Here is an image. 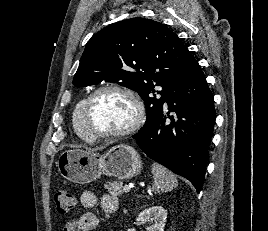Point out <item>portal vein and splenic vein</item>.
<instances>
[{
    "label": "portal vein and splenic vein",
    "instance_id": "obj_1",
    "mask_svg": "<svg viewBox=\"0 0 268 231\" xmlns=\"http://www.w3.org/2000/svg\"><path fill=\"white\" fill-rule=\"evenodd\" d=\"M131 188H133V185H126V186L124 187V190H125L126 192H129Z\"/></svg>",
    "mask_w": 268,
    "mask_h": 231
}]
</instances>
